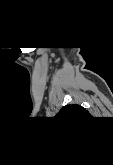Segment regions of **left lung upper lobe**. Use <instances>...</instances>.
Here are the masks:
<instances>
[{
  "label": "left lung upper lobe",
  "mask_w": 113,
  "mask_h": 165,
  "mask_svg": "<svg viewBox=\"0 0 113 165\" xmlns=\"http://www.w3.org/2000/svg\"><path fill=\"white\" fill-rule=\"evenodd\" d=\"M58 115L61 116H73V117H79V116H89L88 111H86L85 108L82 106H79L77 104L74 105H66L64 106L58 113Z\"/></svg>",
  "instance_id": "1"
}]
</instances>
